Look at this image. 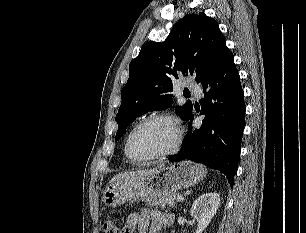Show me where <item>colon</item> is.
<instances>
[{
  "label": "colon",
  "instance_id": "colon-1",
  "mask_svg": "<svg viewBox=\"0 0 306 233\" xmlns=\"http://www.w3.org/2000/svg\"><path fill=\"white\" fill-rule=\"evenodd\" d=\"M104 233H123V227L116 220L107 218L102 223Z\"/></svg>",
  "mask_w": 306,
  "mask_h": 233
}]
</instances>
